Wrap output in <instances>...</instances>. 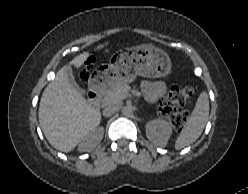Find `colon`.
Returning a JSON list of instances; mask_svg holds the SVG:
<instances>
[{
	"instance_id": "1",
	"label": "colon",
	"mask_w": 248,
	"mask_h": 194,
	"mask_svg": "<svg viewBox=\"0 0 248 194\" xmlns=\"http://www.w3.org/2000/svg\"><path fill=\"white\" fill-rule=\"evenodd\" d=\"M92 71L86 67L80 72V80L83 82L88 81L92 76ZM194 90L190 86H173L159 106L160 114L168 119L173 127L180 131L182 130L188 120V111L181 109L191 104Z\"/></svg>"
}]
</instances>
